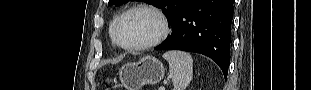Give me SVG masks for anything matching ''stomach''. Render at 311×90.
I'll return each instance as SVG.
<instances>
[{"instance_id":"stomach-1","label":"stomach","mask_w":311,"mask_h":90,"mask_svg":"<svg viewBox=\"0 0 311 90\" xmlns=\"http://www.w3.org/2000/svg\"><path fill=\"white\" fill-rule=\"evenodd\" d=\"M165 68L152 56L143 57L138 62L127 63L119 71V78L127 90H140L145 84H157L164 77ZM107 78L106 82L110 83ZM114 82L116 80L114 79Z\"/></svg>"}]
</instances>
